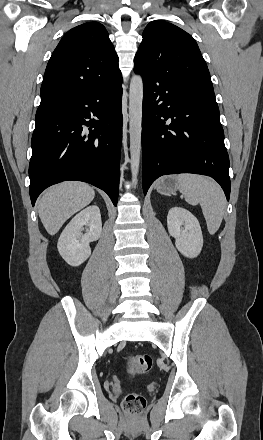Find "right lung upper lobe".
Returning <instances> with one entry per match:
<instances>
[{"label": "right lung upper lobe", "instance_id": "cb5924a9", "mask_svg": "<svg viewBox=\"0 0 263 440\" xmlns=\"http://www.w3.org/2000/svg\"><path fill=\"white\" fill-rule=\"evenodd\" d=\"M121 78L105 27L88 22L69 30L54 50L41 85L39 107Z\"/></svg>", "mask_w": 263, "mask_h": 440}]
</instances>
